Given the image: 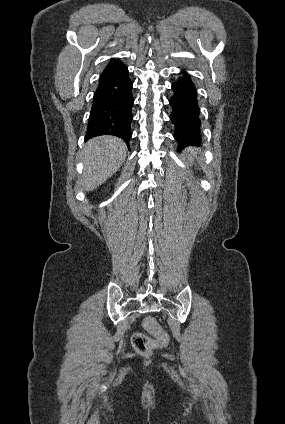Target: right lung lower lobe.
<instances>
[{
  "label": "right lung lower lobe",
  "instance_id": "right-lung-lower-lobe-1",
  "mask_svg": "<svg viewBox=\"0 0 285 424\" xmlns=\"http://www.w3.org/2000/svg\"><path fill=\"white\" fill-rule=\"evenodd\" d=\"M132 88L128 68L120 60H111L99 78L93 97L86 140L107 134L129 144L134 103Z\"/></svg>",
  "mask_w": 285,
  "mask_h": 424
}]
</instances>
